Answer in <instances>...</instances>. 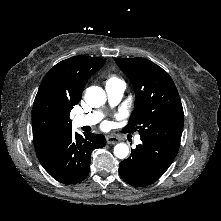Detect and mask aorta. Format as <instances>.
Here are the masks:
<instances>
[{
	"label": "aorta",
	"mask_w": 221,
	"mask_h": 221,
	"mask_svg": "<svg viewBox=\"0 0 221 221\" xmlns=\"http://www.w3.org/2000/svg\"><path fill=\"white\" fill-rule=\"evenodd\" d=\"M85 101L92 107L100 106L106 101L105 91L98 86H91L86 89ZM129 154V147L125 143H119L114 147V155L119 159H124Z\"/></svg>",
	"instance_id": "762f6f07"
}]
</instances>
